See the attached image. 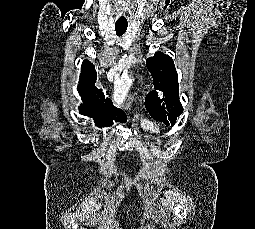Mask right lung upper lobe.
I'll list each match as a JSON object with an SVG mask.
<instances>
[{
	"mask_svg": "<svg viewBox=\"0 0 255 229\" xmlns=\"http://www.w3.org/2000/svg\"><path fill=\"white\" fill-rule=\"evenodd\" d=\"M96 79L94 65L84 60L77 88L83 101L79 107L80 114L93 118L95 125L100 128L111 126L112 120L125 123L127 120L125 113L116 109L110 98L105 97L102 90L95 86Z\"/></svg>",
	"mask_w": 255,
	"mask_h": 229,
	"instance_id": "cb5924a9",
	"label": "right lung upper lobe"
}]
</instances>
